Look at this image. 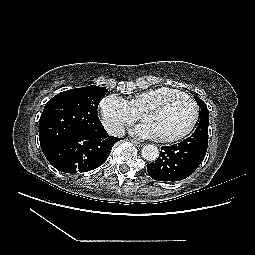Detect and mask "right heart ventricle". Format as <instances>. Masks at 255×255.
Listing matches in <instances>:
<instances>
[{"label": "right heart ventricle", "instance_id": "obj_1", "mask_svg": "<svg viewBox=\"0 0 255 255\" xmlns=\"http://www.w3.org/2000/svg\"><path fill=\"white\" fill-rule=\"evenodd\" d=\"M176 89L170 87H156L147 89L135 95L130 100H127L132 109L139 115L140 112L150 103L154 102L157 98L162 95H165L169 92H172Z\"/></svg>", "mask_w": 255, "mask_h": 255}]
</instances>
